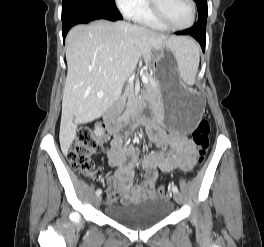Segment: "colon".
Listing matches in <instances>:
<instances>
[{"instance_id":"colon-1","label":"colon","mask_w":264,"mask_h":247,"mask_svg":"<svg viewBox=\"0 0 264 247\" xmlns=\"http://www.w3.org/2000/svg\"><path fill=\"white\" fill-rule=\"evenodd\" d=\"M210 125L206 119L198 122L193 131V141L197 147L198 161L202 163L209 146ZM101 150V142L99 139L87 132L79 133L77 139L71 146L67 159L70 166L77 172L92 176L94 174L93 156ZM158 196L166 197L169 194L168 188L159 186L156 190ZM117 194L114 189H111L108 194V201L114 202Z\"/></svg>"}]
</instances>
